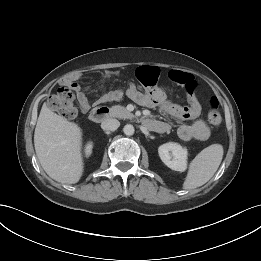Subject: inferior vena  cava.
Segmentation results:
<instances>
[{
  "instance_id": "obj_1",
  "label": "inferior vena cava",
  "mask_w": 261,
  "mask_h": 261,
  "mask_svg": "<svg viewBox=\"0 0 261 261\" xmlns=\"http://www.w3.org/2000/svg\"><path fill=\"white\" fill-rule=\"evenodd\" d=\"M120 126L117 119L108 118L101 123V128L106 131H115Z\"/></svg>"
}]
</instances>
